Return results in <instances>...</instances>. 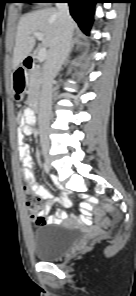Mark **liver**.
Segmentation results:
<instances>
[{
	"instance_id": "liver-1",
	"label": "liver",
	"mask_w": 136,
	"mask_h": 296,
	"mask_svg": "<svg viewBox=\"0 0 136 296\" xmlns=\"http://www.w3.org/2000/svg\"><path fill=\"white\" fill-rule=\"evenodd\" d=\"M60 19L58 9L48 7L26 14L21 18L13 50L12 68L15 70L29 56L35 46L33 32L43 34L42 45L48 47V56L55 45L59 33ZM72 33L78 30L76 23L71 20Z\"/></svg>"
}]
</instances>
